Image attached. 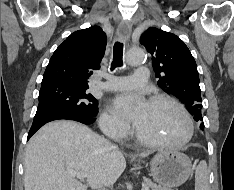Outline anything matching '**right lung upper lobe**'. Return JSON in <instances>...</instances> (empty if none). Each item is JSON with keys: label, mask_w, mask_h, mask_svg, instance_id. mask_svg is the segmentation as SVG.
<instances>
[{"label": "right lung upper lobe", "mask_w": 234, "mask_h": 190, "mask_svg": "<svg viewBox=\"0 0 234 190\" xmlns=\"http://www.w3.org/2000/svg\"><path fill=\"white\" fill-rule=\"evenodd\" d=\"M106 43V34L99 26L72 33L53 53L41 84L88 86L89 76L100 67Z\"/></svg>", "instance_id": "obj_1"}]
</instances>
